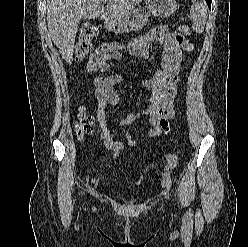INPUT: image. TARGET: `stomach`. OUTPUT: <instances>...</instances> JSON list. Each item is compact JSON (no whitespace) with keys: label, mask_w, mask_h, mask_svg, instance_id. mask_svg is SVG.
Masks as SVG:
<instances>
[{"label":"stomach","mask_w":248,"mask_h":247,"mask_svg":"<svg viewBox=\"0 0 248 247\" xmlns=\"http://www.w3.org/2000/svg\"><path fill=\"white\" fill-rule=\"evenodd\" d=\"M149 12L159 17H168L177 9L176 0H145ZM148 22L147 16L136 10L127 16L111 18L106 27L115 33H128L141 29Z\"/></svg>","instance_id":"obj_1"}]
</instances>
